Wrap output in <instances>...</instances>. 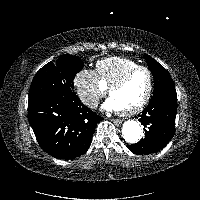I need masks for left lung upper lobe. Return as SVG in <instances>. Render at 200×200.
Segmentation results:
<instances>
[{
	"mask_svg": "<svg viewBox=\"0 0 200 200\" xmlns=\"http://www.w3.org/2000/svg\"><path fill=\"white\" fill-rule=\"evenodd\" d=\"M146 62L154 78V93L162 90L175 91L174 82L167 70L154 58L145 54Z\"/></svg>",
	"mask_w": 200,
	"mask_h": 200,
	"instance_id": "left-lung-upper-lobe-1",
	"label": "left lung upper lobe"
}]
</instances>
